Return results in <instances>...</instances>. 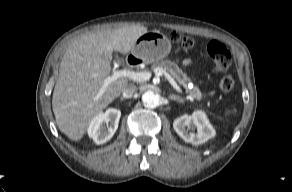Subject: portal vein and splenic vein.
<instances>
[{
	"label": "portal vein and splenic vein",
	"instance_id": "1",
	"mask_svg": "<svg viewBox=\"0 0 292 192\" xmlns=\"http://www.w3.org/2000/svg\"><path fill=\"white\" fill-rule=\"evenodd\" d=\"M154 72L156 75H163L169 83L173 86L174 89H176L178 92H182L179 85L176 83V81L173 79V77L163 68H156L154 69ZM152 73L149 71H143V72H136L130 69H122V70H116L115 68L112 70V75L107 78V80L104 82L103 87L100 89L98 97H100L106 87L111 84L112 82L116 81L119 78H128L133 81L137 82H144L151 78Z\"/></svg>",
	"mask_w": 292,
	"mask_h": 192
}]
</instances>
